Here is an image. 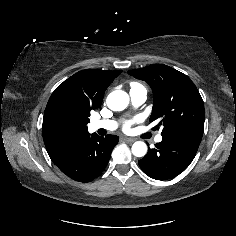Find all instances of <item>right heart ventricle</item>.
<instances>
[{"label":"right heart ventricle","instance_id":"1","mask_svg":"<svg viewBox=\"0 0 236 236\" xmlns=\"http://www.w3.org/2000/svg\"><path fill=\"white\" fill-rule=\"evenodd\" d=\"M131 87L132 88H136V87H143L141 84H139V83H136V82H133L132 84H131ZM144 88V87H143Z\"/></svg>","mask_w":236,"mask_h":236}]
</instances>
